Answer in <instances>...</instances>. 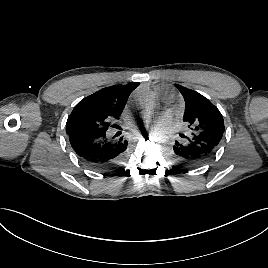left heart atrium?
Instances as JSON below:
<instances>
[{
	"label": "left heart atrium",
	"mask_w": 268,
	"mask_h": 268,
	"mask_svg": "<svg viewBox=\"0 0 268 268\" xmlns=\"http://www.w3.org/2000/svg\"><path fill=\"white\" fill-rule=\"evenodd\" d=\"M170 119H171V117L169 114H163V115L158 116V117H153L150 114H147L146 118H145V122L147 125H150L152 123H157L158 125H163V124L169 122Z\"/></svg>",
	"instance_id": "left-heart-atrium-1"
}]
</instances>
